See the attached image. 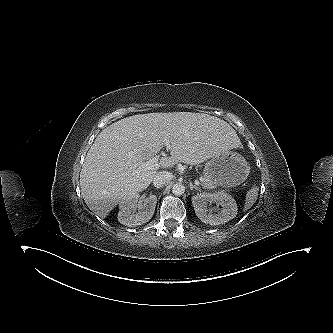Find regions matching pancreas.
<instances>
[{"label": "pancreas", "mask_w": 333, "mask_h": 333, "mask_svg": "<svg viewBox=\"0 0 333 333\" xmlns=\"http://www.w3.org/2000/svg\"><path fill=\"white\" fill-rule=\"evenodd\" d=\"M201 185L205 189H212V188H214L213 183L211 181L205 179V178L202 179Z\"/></svg>", "instance_id": "obj_1"}]
</instances>
